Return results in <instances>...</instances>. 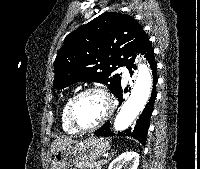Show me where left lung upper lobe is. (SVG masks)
Returning <instances> with one entry per match:
<instances>
[{
  "label": "left lung upper lobe",
  "instance_id": "obj_1",
  "mask_svg": "<svg viewBox=\"0 0 200 169\" xmlns=\"http://www.w3.org/2000/svg\"><path fill=\"white\" fill-rule=\"evenodd\" d=\"M150 46L140 24L130 15L103 13L68 34L54 62V89H63L77 81L109 85L112 93L121 88V66L130 67L137 52Z\"/></svg>",
  "mask_w": 200,
  "mask_h": 169
}]
</instances>
